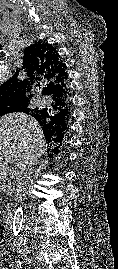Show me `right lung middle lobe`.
<instances>
[{
	"label": "right lung middle lobe",
	"mask_w": 118,
	"mask_h": 269,
	"mask_svg": "<svg viewBox=\"0 0 118 269\" xmlns=\"http://www.w3.org/2000/svg\"><path fill=\"white\" fill-rule=\"evenodd\" d=\"M27 102L17 103V104H10V105H2L0 106V116L12 113V112H23L26 109Z\"/></svg>",
	"instance_id": "dd1d6c3e"
}]
</instances>
